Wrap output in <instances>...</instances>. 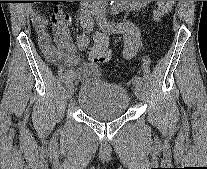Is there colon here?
Returning <instances> with one entry per match:
<instances>
[{
    "instance_id": "obj_1",
    "label": "colon",
    "mask_w": 207,
    "mask_h": 169,
    "mask_svg": "<svg viewBox=\"0 0 207 169\" xmlns=\"http://www.w3.org/2000/svg\"><path fill=\"white\" fill-rule=\"evenodd\" d=\"M174 2L175 1H157L154 10L155 18L159 19L168 14L172 10ZM88 55L90 60L95 64H107L111 58L108 38L102 34L97 35Z\"/></svg>"
}]
</instances>
